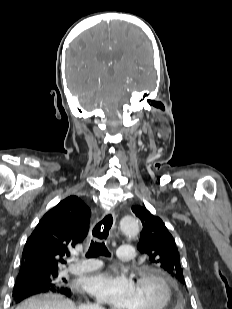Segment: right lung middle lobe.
I'll list each match as a JSON object with an SVG mask.
<instances>
[{
    "instance_id": "1",
    "label": "right lung middle lobe",
    "mask_w": 232,
    "mask_h": 309,
    "mask_svg": "<svg viewBox=\"0 0 232 309\" xmlns=\"http://www.w3.org/2000/svg\"><path fill=\"white\" fill-rule=\"evenodd\" d=\"M19 280H31L41 286L56 287L66 284L65 279L58 277V270L41 272L38 274L19 272Z\"/></svg>"
}]
</instances>
